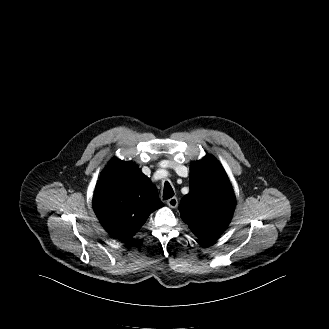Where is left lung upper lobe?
<instances>
[{
  "mask_svg": "<svg viewBox=\"0 0 329 329\" xmlns=\"http://www.w3.org/2000/svg\"><path fill=\"white\" fill-rule=\"evenodd\" d=\"M190 192L180 205L183 221L203 242H213L226 229L235 208V196L224 169L211 155L192 162Z\"/></svg>",
  "mask_w": 329,
  "mask_h": 329,
  "instance_id": "5c2ea615",
  "label": "left lung upper lobe"
}]
</instances>
